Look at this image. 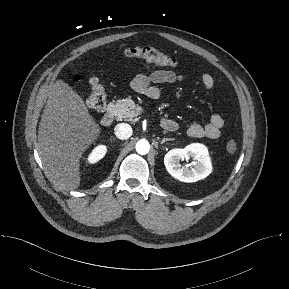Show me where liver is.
Masks as SVG:
<instances>
[{
  "label": "liver",
  "mask_w": 289,
  "mask_h": 289,
  "mask_svg": "<svg viewBox=\"0 0 289 289\" xmlns=\"http://www.w3.org/2000/svg\"><path fill=\"white\" fill-rule=\"evenodd\" d=\"M99 135V125L81 96L57 80L39 123L38 149L49 177L60 190L80 186V160Z\"/></svg>",
  "instance_id": "1"
}]
</instances>
